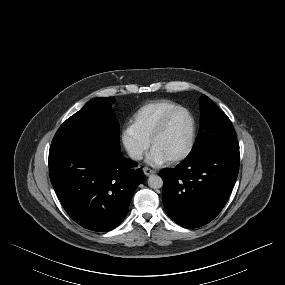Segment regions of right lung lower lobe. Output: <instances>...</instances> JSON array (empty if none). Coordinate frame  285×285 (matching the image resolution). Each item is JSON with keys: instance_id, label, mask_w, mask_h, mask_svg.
Wrapping results in <instances>:
<instances>
[{"instance_id": "right-lung-lower-lobe-1", "label": "right lung lower lobe", "mask_w": 285, "mask_h": 285, "mask_svg": "<svg viewBox=\"0 0 285 285\" xmlns=\"http://www.w3.org/2000/svg\"><path fill=\"white\" fill-rule=\"evenodd\" d=\"M137 163L120 152L89 145L49 151L53 188L68 215L84 228L107 232L126 217L132 196L143 180Z\"/></svg>"}]
</instances>
